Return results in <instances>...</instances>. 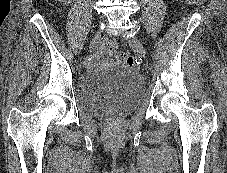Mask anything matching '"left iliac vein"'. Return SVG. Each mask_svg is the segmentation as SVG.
<instances>
[{
    "label": "left iliac vein",
    "mask_w": 227,
    "mask_h": 173,
    "mask_svg": "<svg viewBox=\"0 0 227 173\" xmlns=\"http://www.w3.org/2000/svg\"><path fill=\"white\" fill-rule=\"evenodd\" d=\"M128 42L135 49L139 56H141L142 58L146 57V50L142 42L136 36L128 39Z\"/></svg>",
    "instance_id": "obj_1"
}]
</instances>
